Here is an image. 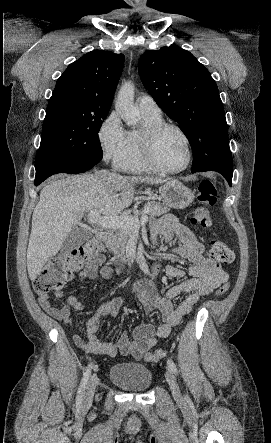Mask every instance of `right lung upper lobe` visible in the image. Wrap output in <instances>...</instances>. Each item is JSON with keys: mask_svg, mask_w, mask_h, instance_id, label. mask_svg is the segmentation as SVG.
<instances>
[{"mask_svg": "<svg viewBox=\"0 0 271 443\" xmlns=\"http://www.w3.org/2000/svg\"><path fill=\"white\" fill-rule=\"evenodd\" d=\"M124 64V55L92 51L71 63L58 78L48 104L70 102L108 113Z\"/></svg>", "mask_w": 271, "mask_h": 443, "instance_id": "obj_1", "label": "right lung upper lobe"}]
</instances>
